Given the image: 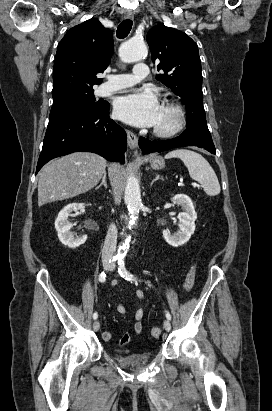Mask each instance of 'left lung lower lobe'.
<instances>
[{
	"instance_id": "0a47b994",
	"label": "left lung lower lobe",
	"mask_w": 272,
	"mask_h": 411,
	"mask_svg": "<svg viewBox=\"0 0 272 411\" xmlns=\"http://www.w3.org/2000/svg\"><path fill=\"white\" fill-rule=\"evenodd\" d=\"M139 145L144 154L152 152H162L180 146H197L206 149L212 154H216L215 146L213 144L211 134L207 126H192L174 139L165 141H151L140 137Z\"/></svg>"
}]
</instances>
